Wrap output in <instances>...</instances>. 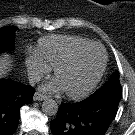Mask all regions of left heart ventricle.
Returning a JSON list of instances; mask_svg holds the SVG:
<instances>
[{"label":"left heart ventricle","instance_id":"left-heart-ventricle-1","mask_svg":"<svg viewBox=\"0 0 135 135\" xmlns=\"http://www.w3.org/2000/svg\"><path fill=\"white\" fill-rule=\"evenodd\" d=\"M103 63V52L97 46L84 51L72 64L57 74L66 91L78 92L87 86L97 75Z\"/></svg>","mask_w":135,"mask_h":135}]
</instances>
